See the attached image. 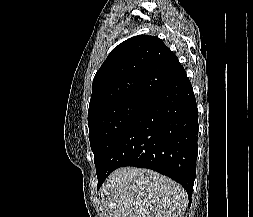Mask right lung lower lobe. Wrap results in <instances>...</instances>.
I'll use <instances>...</instances> for the list:
<instances>
[{"label": "right lung lower lobe", "mask_w": 253, "mask_h": 217, "mask_svg": "<svg viewBox=\"0 0 253 217\" xmlns=\"http://www.w3.org/2000/svg\"><path fill=\"white\" fill-rule=\"evenodd\" d=\"M197 113L193 88L184 70L148 101L122 133L106 160L97 189L115 169L135 166L177 181L190 200L196 172Z\"/></svg>", "instance_id": "right-lung-lower-lobe-1"}]
</instances>
